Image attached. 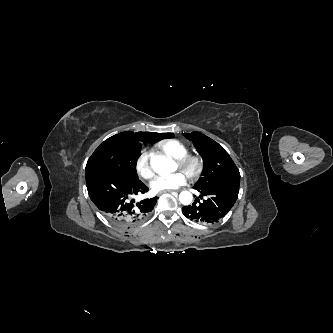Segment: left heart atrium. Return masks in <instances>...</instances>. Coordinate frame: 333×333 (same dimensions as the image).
Returning a JSON list of instances; mask_svg holds the SVG:
<instances>
[{
  "instance_id": "39dd6f15",
  "label": "left heart atrium",
  "mask_w": 333,
  "mask_h": 333,
  "mask_svg": "<svg viewBox=\"0 0 333 333\" xmlns=\"http://www.w3.org/2000/svg\"><path fill=\"white\" fill-rule=\"evenodd\" d=\"M187 182V176L183 172H176L167 176H158L151 182V188L154 192H163L176 189Z\"/></svg>"
}]
</instances>
